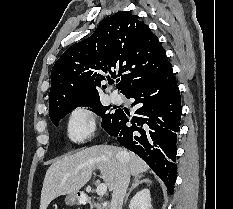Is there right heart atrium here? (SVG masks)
Instances as JSON below:
<instances>
[{
	"label": "right heart atrium",
	"instance_id": "right-heart-atrium-1",
	"mask_svg": "<svg viewBox=\"0 0 233 209\" xmlns=\"http://www.w3.org/2000/svg\"><path fill=\"white\" fill-rule=\"evenodd\" d=\"M96 129V117L88 106H78L69 115L67 125L68 138L74 143L90 139Z\"/></svg>",
	"mask_w": 233,
	"mask_h": 209
}]
</instances>
